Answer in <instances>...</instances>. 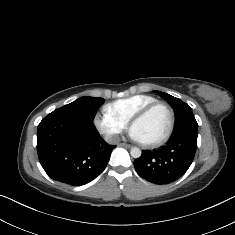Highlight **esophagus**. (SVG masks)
Here are the masks:
<instances>
[{
	"mask_svg": "<svg viewBox=\"0 0 235 235\" xmlns=\"http://www.w3.org/2000/svg\"><path fill=\"white\" fill-rule=\"evenodd\" d=\"M118 146L125 147V148H131V145L128 143H119Z\"/></svg>",
	"mask_w": 235,
	"mask_h": 235,
	"instance_id": "esophagus-1",
	"label": "esophagus"
}]
</instances>
